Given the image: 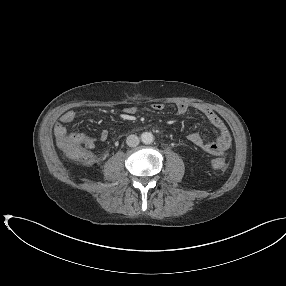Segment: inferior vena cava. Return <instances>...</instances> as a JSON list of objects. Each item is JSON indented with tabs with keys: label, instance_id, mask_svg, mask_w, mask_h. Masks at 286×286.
<instances>
[{
	"label": "inferior vena cava",
	"instance_id": "1",
	"mask_svg": "<svg viewBox=\"0 0 286 286\" xmlns=\"http://www.w3.org/2000/svg\"><path fill=\"white\" fill-rule=\"evenodd\" d=\"M139 137L136 135H129L126 139V143L129 147H136L139 144Z\"/></svg>",
	"mask_w": 286,
	"mask_h": 286
}]
</instances>
